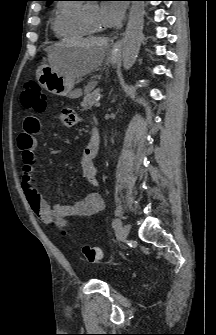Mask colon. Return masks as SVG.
I'll return each mask as SVG.
<instances>
[{"label":"colon","mask_w":216,"mask_h":335,"mask_svg":"<svg viewBox=\"0 0 216 335\" xmlns=\"http://www.w3.org/2000/svg\"><path fill=\"white\" fill-rule=\"evenodd\" d=\"M21 101L26 109L37 113L43 112L47 107V97L40 85L34 80H27L25 82ZM80 251L89 263H96L102 257V252L98 247L80 245Z\"/></svg>","instance_id":"1"}]
</instances>
